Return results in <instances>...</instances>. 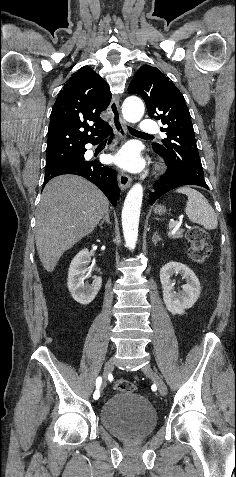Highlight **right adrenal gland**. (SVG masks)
Listing matches in <instances>:
<instances>
[{
  "label": "right adrenal gland",
  "instance_id": "2a0ac1e0",
  "mask_svg": "<svg viewBox=\"0 0 236 477\" xmlns=\"http://www.w3.org/2000/svg\"><path fill=\"white\" fill-rule=\"evenodd\" d=\"M104 222H107L109 225L111 224L110 219H109V212H107L103 218V220L100 222L99 226L102 227Z\"/></svg>",
  "mask_w": 236,
  "mask_h": 477
}]
</instances>
